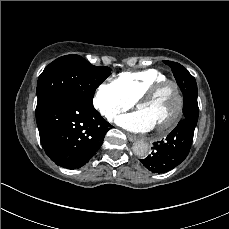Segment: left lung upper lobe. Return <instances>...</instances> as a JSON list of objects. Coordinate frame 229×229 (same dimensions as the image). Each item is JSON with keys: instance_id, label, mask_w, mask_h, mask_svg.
I'll use <instances>...</instances> for the list:
<instances>
[{"instance_id": "left-lung-upper-lobe-1", "label": "left lung upper lobe", "mask_w": 229, "mask_h": 229, "mask_svg": "<svg viewBox=\"0 0 229 229\" xmlns=\"http://www.w3.org/2000/svg\"><path fill=\"white\" fill-rule=\"evenodd\" d=\"M164 63L171 67L174 77L183 94L186 92L197 91L195 78L185 67L172 61H164Z\"/></svg>"}]
</instances>
